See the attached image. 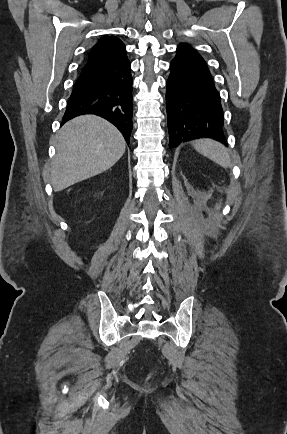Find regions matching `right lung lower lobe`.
Returning a JSON list of instances; mask_svg holds the SVG:
<instances>
[{
	"instance_id": "right-lung-lower-lobe-1",
	"label": "right lung lower lobe",
	"mask_w": 287,
	"mask_h": 434,
	"mask_svg": "<svg viewBox=\"0 0 287 434\" xmlns=\"http://www.w3.org/2000/svg\"><path fill=\"white\" fill-rule=\"evenodd\" d=\"M84 114L107 119L120 130L129 144L133 103L131 65L126 51L82 67L62 124Z\"/></svg>"
}]
</instances>
